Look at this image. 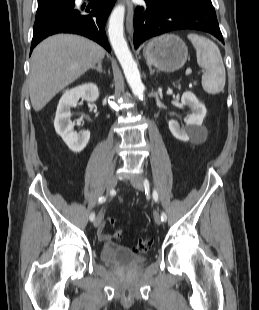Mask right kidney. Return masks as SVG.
Instances as JSON below:
<instances>
[{"instance_id":"obj_1","label":"right kidney","mask_w":259,"mask_h":310,"mask_svg":"<svg viewBox=\"0 0 259 310\" xmlns=\"http://www.w3.org/2000/svg\"><path fill=\"white\" fill-rule=\"evenodd\" d=\"M99 97L98 87L93 83L77 86L66 91L61 97L54 120V127L58 135L73 152H81L90 139L89 131L77 134L74 131V123L71 122V107L75 106L82 98L89 103L95 102Z\"/></svg>"}]
</instances>
